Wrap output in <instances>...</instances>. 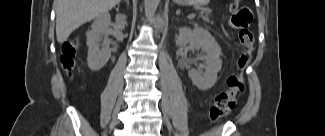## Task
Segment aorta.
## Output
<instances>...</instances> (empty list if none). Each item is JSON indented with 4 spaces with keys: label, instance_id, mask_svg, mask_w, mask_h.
Instances as JSON below:
<instances>
[{
    "label": "aorta",
    "instance_id": "obj_1",
    "mask_svg": "<svg viewBox=\"0 0 325 136\" xmlns=\"http://www.w3.org/2000/svg\"><path fill=\"white\" fill-rule=\"evenodd\" d=\"M158 5L159 0H144V10L147 20L152 21Z\"/></svg>",
    "mask_w": 325,
    "mask_h": 136
}]
</instances>
